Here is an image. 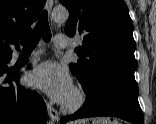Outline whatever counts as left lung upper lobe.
I'll list each match as a JSON object with an SVG mask.
<instances>
[{
    "label": "left lung upper lobe",
    "instance_id": "left-lung-upper-lobe-1",
    "mask_svg": "<svg viewBox=\"0 0 156 124\" xmlns=\"http://www.w3.org/2000/svg\"><path fill=\"white\" fill-rule=\"evenodd\" d=\"M68 9V36L81 35L79 59L69 65L84 92L103 81L118 79L137 86L133 23L123 0H60Z\"/></svg>",
    "mask_w": 156,
    "mask_h": 124
}]
</instances>
